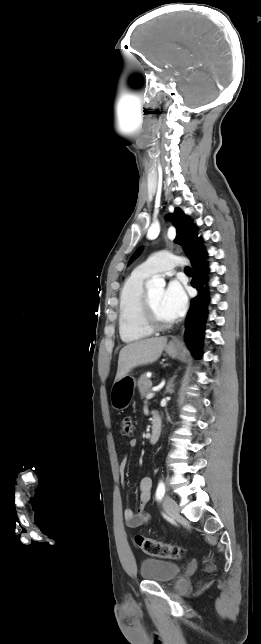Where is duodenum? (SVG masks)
<instances>
[{"instance_id": "obj_1", "label": "duodenum", "mask_w": 261, "mask_h": 644, "mask_svg": "<svg viewBox=\"0 0 261 644\" xmlns=\"http://www.w3.org/2000/svg\"><path fill=\"white\" fill-rule=\"evenodd\" d=\"M161 431H162L161 419L157 414H155L153 416L152 428L149 436V442L151 444H155L159 440Z\"/></svg>"}]
</instances>
